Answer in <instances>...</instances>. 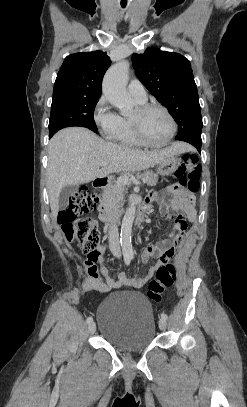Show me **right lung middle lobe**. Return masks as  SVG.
I'll list each match as a JSON object with an SVG mask.
<instances>
[{"mask_svg":"<svg viewBox=\"0 0 247 407\" xmlns=\"http://www.w3.org/2000/svg\"><path fill=\"white\" fill-rule=\"evenodd\" d=\"M99 97L59 96L53 97L49 121V135L70 127H86L97 133L94 121V109Z\"/></svg>","mask_w":247,"mask_h":407,"instance_id":"obj_1","label":"right lung middle lobe"}]
</instances>
